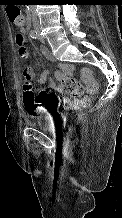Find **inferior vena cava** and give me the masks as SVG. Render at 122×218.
<instances>
[{
    "mask_svg": "<svg viewBox=\"0 0 122 218\" xmlns=\"http://www.w3.org/2000/svg\"><path fill=\"white\" fill-rule=\"evenodd\" d=\"M32 22H33L34 28H36V29L39 28V20H38L36 15L32 16Z\"/></svg>",
    "mask_w": 122,
    "mask_h": 218,
    "instance_id": "602c4592",
    "label": "inferior vena cava"
}]
</instances>
